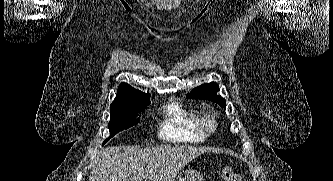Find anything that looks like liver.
<instances>
[{"mask_svg":"<svg viewBox=\"0 0 333 181\" xmlns=\"http://www.w3.org/2000/svg\"><path fill=\"white\" fill-rule=\"evenodd\" d=\"M205 152V148L176 144L141 150L107 147L93 161L89 181H174L188 162Z\"/></svg>","mask_w":333,"mask_h":181,"instance_id":"obj_1","label":"liver"}]
</instances>
